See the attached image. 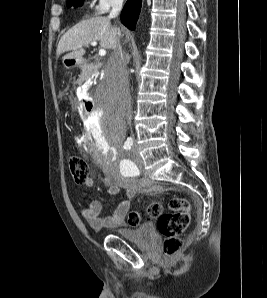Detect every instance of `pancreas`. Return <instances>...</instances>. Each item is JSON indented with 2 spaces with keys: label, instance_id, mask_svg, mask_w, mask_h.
<instances>
[{
  "label": "pancreas",
  "instance_id": "pancreas-1",
  "mask_svg": "<svg viewBox=\"0 0 267 298\" xmlns=\"http://www.w3.org/2000/svg\"><path fill=\"white\" fill-rule=\"evenodd\" d=\"M102 66L101 63H96V64H89L82 70V74L80 76L81 80H86L90 78L94 73L98 71V69Z\"/></svg>",
  "mask_w": 267,
  "mask_h": 298
}]
</instances>
